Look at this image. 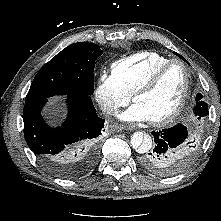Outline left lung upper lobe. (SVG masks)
Returning <instances> with one entry per match:
<instances>
[{
  "label": "left lung upper lobe",
  "mask_w": 221,
  "mask_h": 221,
  "mask_svg": "<svg viewBox=\"0 0 221 221\" xmlns=\"http://www.w3.org/2000/svg\"><path fill=\"white\" fill-rule=\"evenodd\" d=\"M193 112L195 116H197L198 120H202L203 118H205V116L208 115V106L202 100L201 94L196 95L195 103L193 105Z\"/></svg>",
  "instance_id": "left-lung-upper-lobe-1"
}]
</instances>
